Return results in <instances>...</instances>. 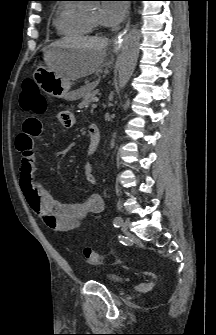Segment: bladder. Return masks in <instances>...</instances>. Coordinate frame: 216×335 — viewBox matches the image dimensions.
<instances>
[{"label":"bladder","mask_w":216,"mask_h":335,"mask_svg":"<svg viewBox=\"0 0 216 335\" xmlns=\"http://www.w3.org/2000/svg\"><path fill=\"white\" fill-rule=\"evenodd\" d=\"M107 281L116 286L120 282V278L116 275H110L107 277Z\"/></svg>","instance_id":"bladder-1"}]
</instances>
